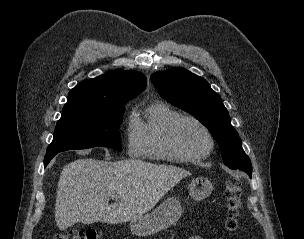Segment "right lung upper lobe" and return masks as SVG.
<instances>
[{"instance_id":"cb5924a9","label":"right lung upper lobe","mask_w":304,"mask_h":239,"mask_svg":"<svg viewBox=\"0 0 304 239\" xmlns=\"http://www.w3.org/2000/svg\"><path fill=\"white\" fill-rule=\"evenodd\" d=\"M146 87V77L137 71H108L80 82L70 90L62 112L112 109L123 106Z\"/></svg>"}]
</instances>
